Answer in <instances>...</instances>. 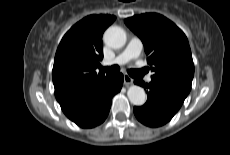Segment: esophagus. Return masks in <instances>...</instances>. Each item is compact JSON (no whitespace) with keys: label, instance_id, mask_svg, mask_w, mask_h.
<instances>
[{"label":"esophagus","instance_id":"esophagus-1","mask_svg":"<svg viewBox=\"0 0 230 155\" xmlns=\"http://www.w3.org/2000/svg\"><path fill=\"white\" fill-rule=\"evenodd\" d=\"M134 82L133 78H131L129 75L124 74V84L126 86L132 85Z\"/></svg>","mask_w":230,"mask_h":155}]
</instances>
